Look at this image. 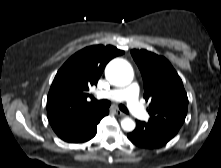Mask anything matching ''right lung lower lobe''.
Segmentation results:
<instances>
[{
	"mask_svg": "<svg viewBox=\"0 0 221 168\" xmlns=\"http://www.w3.org/2000/svg\"><path fill=\"white\" fill-rule=\"evenodd\" d=\"M109 114L107 108H102L93 115L82 116L70 122L52 126L59 138L69 143H83L92 139L97 132L100 120Z\"/></svg>",
	"mask_w": 221,
	"mask_h": 168,
	"instance_id": "98d812e1",
	"label": "right lung lower lobe"
}]
</instances>
